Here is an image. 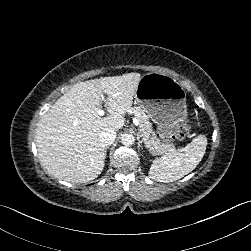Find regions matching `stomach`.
I'll return each mask as SVG.
<instances>
[{
  "instance_id": "stomach-1",
  "label": "stomach",
  "mask_w": 251,
  "mask_h": 251,
  "mask_svg": "<svg viewBox=\"0 0 251 251\" xmlns=\"http://www.w3.org/2000/svg\"><path fill=\"white\" fill-rule=\"evenodd\" d=\"M186 92L173 77L164 73L143 75L134 92V99L151 119L163 126L179 124L186 113Z\"/></svg>"
}]
</instances>
